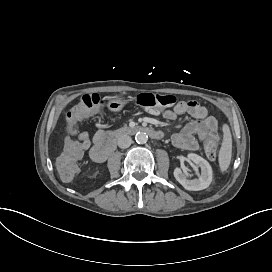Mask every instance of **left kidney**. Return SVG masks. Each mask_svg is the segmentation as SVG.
I'll return each instance as SVG.
<instances>
[{"mask_svg": "<svg viewBox=\"0 0 272 272\" xmlns=\"http://www.w3.org/2000/svg\"><path fill=\"white\" fill-rule=\"evenodd\" d=\"M187 157L201 168V175L198 179L188 180L180 168H175V179L185 189L190 191H199L206 189L212 182V168L210 164L204 158L194 153H189Z\"/></svg>", "mask_w": 272, "mask_h": 272, "instance_id": "obj_1", "label": "left kidney"}]
</instances>
